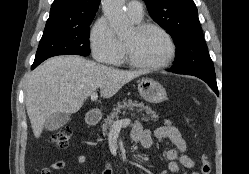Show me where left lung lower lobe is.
Listing matches in <instances>:
<instances>
[{"label": "left lung lower lobe", "mask_w": 249, "mask_h": 174, "mask_svg": "<svg viewBox=\"0 0 249 174\" xmlns=\"http://www.w3.org/2000/svg\"><path fill=\"white\" fill-rule=\"evenodd\" d=\"M167 71H170L173 73H178V74H186V75L196 76V77L202 79L203 81H205L210 86V88L218 95V87H217V83H216V78H215V74H213V73H209V72L179 73L174 69H168Z\"/></svg>", "instance_id": "0a47b994"}]
</instances>
